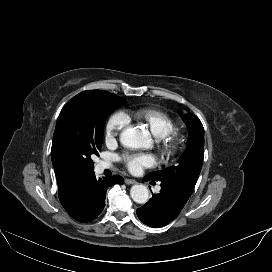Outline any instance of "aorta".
<instances>
[{
    "instance_id": "aorta-1",
    "label": "aorta",
    "mask_w": 272,
    "mask_h": 272,
    "mask_svg": "<svg viewBox=\"0 0 272 272\" xmlns=\"http://www.w3.org/2000/svg\"><path fill=\"white\" fill-rule=\"evenodd\" d=\"M120 142L128 148H143L149 142V135L141 127H128L121 133ZM130 195L134 202L144 204L148 201L149 191L145 185L135 184L131 187Z\"/></svg>"
}]
</instances>
